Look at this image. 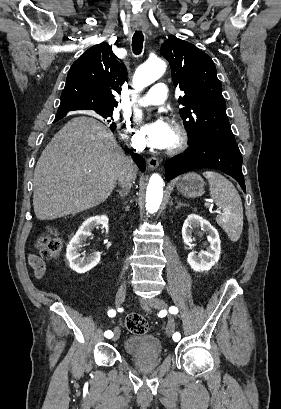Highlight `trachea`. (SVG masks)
Masks as SVG:
<instances>
[{
	"label": "trachea",
	"instance_id": "trachea-1",
	"mask_svg": "<svg viewBox=\"0 0 281 409\" xmlns=\"http://www.w3.org/2000/svg\"><path fill=\"white\" fill-rule=\"evenodd\" d=\"M144 36L142 32H135L132 38V50L134 54L139 55L143 49Z\"/></svg>",
	"mask_w": 281,
	"mask_h": 409
}]
</instances>
